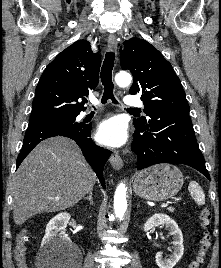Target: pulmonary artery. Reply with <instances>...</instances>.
<instances>
[{
  "label": "pulmonary artery",
  "instance_id": "pulmonary-artery-1",
  "mask_svg": "<svg viewBox=\"0 0 221 268\" xmlns=\"http://www.w3.org/2000/svg\"><path fill=\"white\" fill-rule=\"evenodd\" d=\"M92 103L98 104V101L92 100ZM125 103L130 107H142L143 106V102L139 98L134 97V96H127L125 98ZM99 112H101V109L96 110L94 113L97 114ZM91 113H92L91 111H86V112H83L81 115L86 116V115H89Z\"/></svg>",
  "mask_w": 221,
  "mask_h": 268
}]
</instances>
